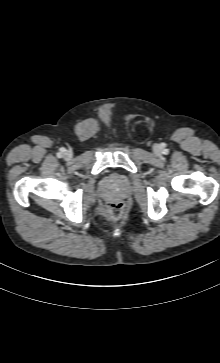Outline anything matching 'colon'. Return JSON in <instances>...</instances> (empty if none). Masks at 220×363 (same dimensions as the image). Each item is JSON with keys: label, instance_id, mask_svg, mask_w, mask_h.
Returning <instances> with one entry per match:
<instances>
[{"label": "colon", "instance_id": "5ec220e1", "mask_svg": "<svg viewBox=\"0 0 220 363\" xmlns=\"http://www.w3.org/2000/svg\"><path fill=\"white\" fill-rule=\"evenodd\" d=\"M125 211V204L121 200H111L106 203L105 213L110 219H119Z\"/></svg>", "mask_w": 220, "mask_h": 363}]
</instances>
